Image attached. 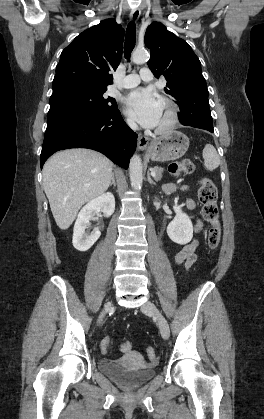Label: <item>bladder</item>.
Returning a JSON list of instances; mask_svg holds the SVG:
<instances>
[{"label": "bladder", "instance_id": "1", "mask_svg": "<svg viewBox=\"0 0 264 419\" xmlns=\"http://www.w3.org/2000/svg\"><path fill=\"white\" fill-rule=\"evenodd\" d=\"M99 370L124 388H137L155 375L153 366L132 369L121 366L113 361L102 359L98 362Z\"/></svg>", "mask_w": 264, "mask_h": 419}]
</instances>
